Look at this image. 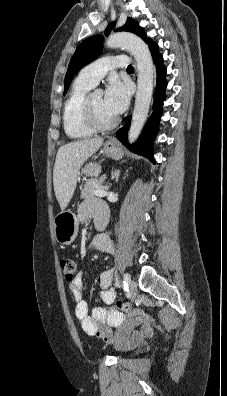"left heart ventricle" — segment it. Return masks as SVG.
I'll use <instances>...</instances> for the list:
<instances>
[{"instance_id": "obj_1", "label": "left heart ventricle", "mask_w": 227, "mask_h": 396, "mask_svg": "<svg viewBox=\"0 0 227 396\" xmlns=\"http://www.w3.org/2000/svg\"><path fill=\"white\" fill-rule=\"evenodd\" d=\"M90 102L92 104L93 109L95 110L97 116L102 121H109L114 118L104 107L103 97L100 95H94L90 97Z\"/></svg>"}]
</instances>
